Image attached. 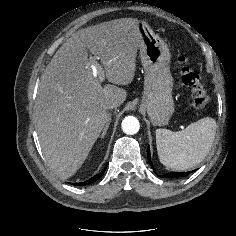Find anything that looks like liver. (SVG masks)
<instances>
[{
	"instance_id": "6515ba94",
	"label": "liver",
	"mask_w": 236,
	"mask_h": 236,
	"mask_svg": "<svg viewBox=\"0 0 236 236\" xmlns=\"http://www.w3.org/2000/svg\"><path fill=\"white\" fill-rule=\"evenodd\" d=\"M134 18L115 19L75 32L47 65L38 89L37 133L49 167L61 179L85 162L110 118L107 105L123 104L126 90L104 87L91 58L100 60L110 83L128 85L135 76L142 39Z\"/></svg>"
}]
</instances>
